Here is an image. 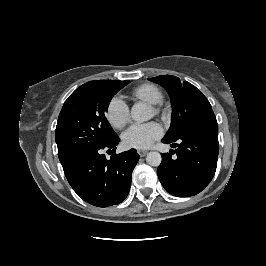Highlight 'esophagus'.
<instances>
[{"mask_svg":"<svg viewBox=\"0 0 266 266\" xmlns=\"http://www.w3.org/2000/svg\"><path fill=\"white\" fill-rule=\"evenodd\" d=\"M140 157H144L148 152L146 150H137Z\"/></svg>","mask_w":266,"mask_h":266,"instance_id":"1","label":"esophagus"}]
</instances>
